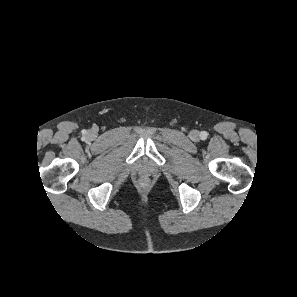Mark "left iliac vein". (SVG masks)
Here are the masks:
<instances>
[{"mask_svg": "<svg viewBox=\"0 0 297 297\" xmlns=\"http://www.w3.org/2000/svg\"><path fill=\"white\" fill-rule=\"evenodd\" d=\"M199 136H200V134H199V132L196 131V130H193V131H191V133H190V137H191V139H193V140H195V141L199 139Z\"/></svg>", "mask_w": 297, "mask_h": 297, "instance_id": "1", "label": "left iliac vein"}]
</instances>
